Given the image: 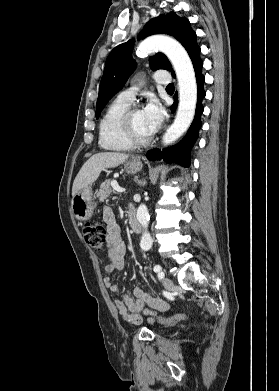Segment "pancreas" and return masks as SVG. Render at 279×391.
<instances>
[{
  "mask_svg": "<svg viewBox=\"0 0 279 391\" xmlns=\"http://www.w3.org/2000/svg\"><path fill=\"white\" fill-rule=\"evenodd\" d=\"M110 184L111 182L109 180H106L101 184L99 192L97 194L101 201L110 197L112 193H115V191L110 187Z\"/></svg>",
  "mask_w": 279,
  "mask_h": 391,
  "instance_id": "pancreas-1",
  "label": "pancreas"
}]
</instances>
